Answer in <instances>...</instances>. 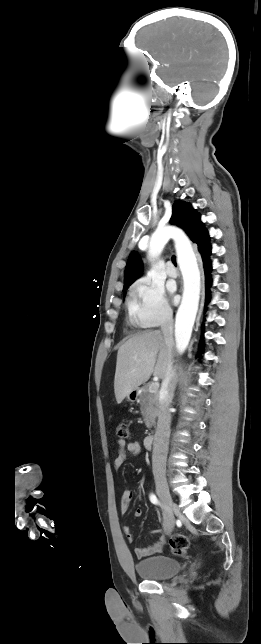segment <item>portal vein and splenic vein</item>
I'll return each instance as SVG.
<instances>
[{"label": "portal vein and splenic vein", "instance_id": "obj_1", "mask_svg": "<svg viewBox=\"0 0 261 644\" xmlns=\"http://www.w3.org/2000/svg\"><path fill=\"white\" fill-rule=\"evenodd\" d=\"M158 388H159V383H158V382L152 383V384L149 386V392H150V393H155V392H157V391H158Z\"/></svg>", "mask_w": 261, "mask_h": 644}]
</instances>
